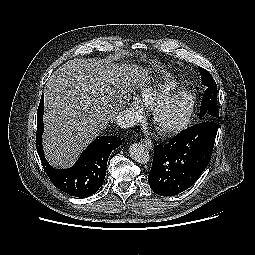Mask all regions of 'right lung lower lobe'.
Segmentation results:
<instances>
[{
    "label": "right lung lower lobe",
    "instance_id": "right-lung-lower-lobe-1",
    "mask_svg": "<svg viewBox=\"0 0 255 255\" xmlns=\"http://www.w3.org/2000/svg\"><path fill=\"white\" fill-rule=\"evenodd\" d=\"M44 97L37 110L36 149L43 168L55 187L75 197H88L103 184L110 153L122 144L119 137H97L68 169H55L45 159L42 147Z\"/></svg>",
    "mask_w": 255,
    "mask_h": 255
}]
</instances>
